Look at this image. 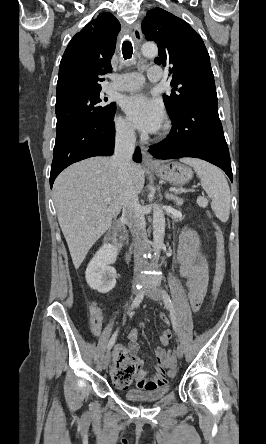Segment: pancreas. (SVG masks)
I'll return each instance as SVG.
<instances>
[{
	"mask_svg": "<svg viewBox=\"0 0 266 444\" xmlns=\"http://www.w3.org/2000/svg\"><path fill=\"white\" fill-rule=\"evenodd\" d=\"M181 192H182V191H181V190H179V191H176L175 193H177V194H178V193H181Z\"/></svg>",
	"mask_w": 266,
	"mask_h": 444,
	"instance_id": "1",
	"label": "pancreas"
}]
</instances>
